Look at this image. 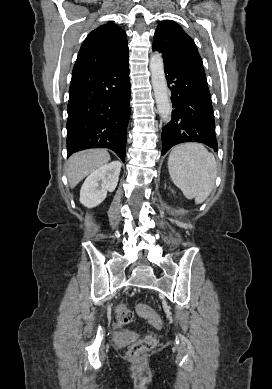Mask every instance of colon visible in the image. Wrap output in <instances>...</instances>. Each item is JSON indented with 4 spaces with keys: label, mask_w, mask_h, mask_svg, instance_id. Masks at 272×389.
Masks as SVG:
<instances>
[{
    "label": "colon",
    "mask_w": 272,
    "mask_h": 389,
    "mask_svg": "<svg viewBox=\"0 0 272 389\" xmlns=\"http://www.w3.org/2000/svg\"><path fill=\"white\" fill-rule=\"evenodd\" d=\"M136 311L139 316L146 318L155 328L162 327L161 318L154 312V310L147 304H139L136 307ZM116 316L121 324L128 325L134 320L133 312L124 304H119L116 307ZM157 341V337L154 333L146 335L140 341L134 343L128 352L129 357L132 360L140 359L145 353L151 350Z\"/></svg>",
    "instance_id": "obj_1"
}]
</instances>
